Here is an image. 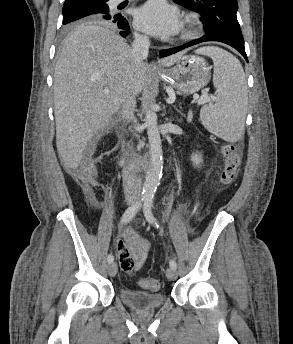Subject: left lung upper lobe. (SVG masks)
I'll return each mask as SVG.
<instances>
[{
    "label": "left lung upper lobe",
    "mask_w": 293,
    "mask_h": 344,
    "mask_svg": "<svg viewBox=\"0 0 293 344\" xmlns=\"http://www.w3.org/2000/svg\"><path fill=\"white\" fill-rule=\"evenodd\" d=\"M184 7L198 12L206 34L229 38L244 44L237 20V0H174Z\"/></svg>",
    "instance_id": "5c2ea615"
}]
</instances>
